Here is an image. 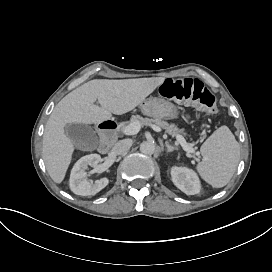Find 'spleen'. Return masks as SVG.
<instances>
[{
	"label": "spleen",
	"mask_w": 272,
	"mask_h": 272,
	"mask_svg": "<svg viewBox=\"0 0 272 272\" xmlns=\"http://www.w3.org/2000/svg\"><path fill=\"white\" fill-rule=\"evenodd\" d=\"M203 160L195 170L213 188H222L231 180L240 158V147L226 125L219 126L201 145Z\"/></svg>",
	"instance_id": "3e777b00"
}]
</instances>
